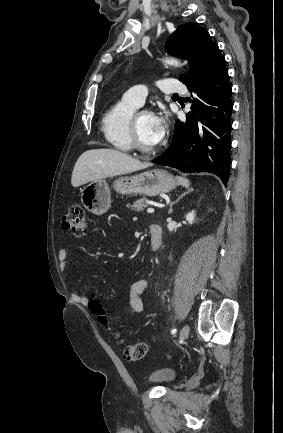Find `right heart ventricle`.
<instances>
[{
  "mask_svg": "<svg viewBox=\"0 0 283 433\" xmlns=\"http://www.w3.org/2000/svg\"><path fill=\"white\" fill-rule=\"evenodd\" d=\"M136 109V105L122 98L102 116L103 135L117 150L127 152L132 148L130 126Z\"/></svg>",
  "mask_w": 283,
  "mask_h": 433,
  "instance_id": "e07e8e85",
  "label": "right heart ventricle"
}]
</instances>
